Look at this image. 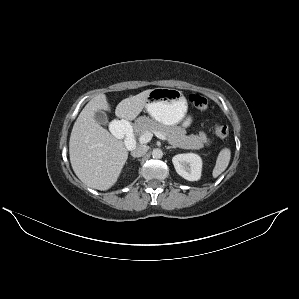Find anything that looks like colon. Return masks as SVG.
Wrapping results in <instances>:
<instances>
[{
  "label": "colon",
  "instance_id": "colon-1",
  "mask_svg": "<svg viewBox=\"0 0 299 299\" xmlns=\"http://www.w3.org/2000/svg\"><path fill=\"white\" fill-rule=\"evenodd\" d=\"M188 99L195 109L206 110L208 107L207 99L199 93H191ZM216 134L221 138H225L229 134V128L224 124L216 123Z\"/></svg>",
  "mask_w": 299,
  "mask_h": 299
}]
</instances>
